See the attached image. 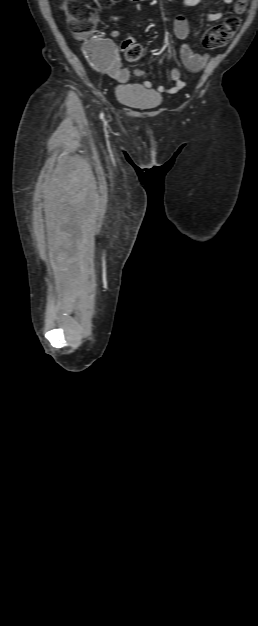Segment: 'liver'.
I'll return each mask as SVG.
<instances>
[{
  "instance_id": "6515ba94",
  "label": "liver",
  "mask_w": 258,
  "mask_h": 626,
  "mask_svg": "<svg viewBox=\"0 0 258 626\" xmlns=\"http://www.w3.org/2000/svg\"><path fill=\"white\" fill-rule=\"evenodd\" d=\"M48 210H49V209L47 208V209H46V213H47V214H48Z\"/></svg>"
}]
</instances>
